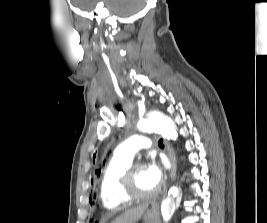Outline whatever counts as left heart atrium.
Here are the masks:
<instances>
[{
	"label": "left heart atrium",
	"mask_w": 267,
	"mask_h": 223,
	"mask_svg": "<svg viewBox=\"0 0 267 223\" xmlns=\"http://www.w3.org/2000/svg\"><path fill=\"white\" fill-rule=\"evenodd\" d=\"M166 163L162 161L161 164L152 162L146 167V173L149 180L158 187L163 179V169Z\"/></svg>",
	"instance_id": "39dd6f15"
}]
</instances>
